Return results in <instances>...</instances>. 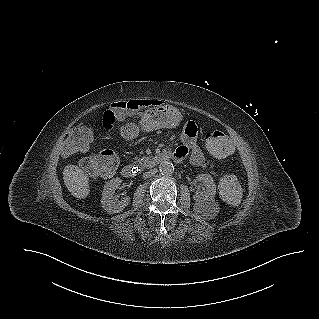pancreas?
<instances>
[{"label": "pancreas", "instance_id": "obj_1", "mask_svg": "<svg viewBox=\"0 0 319 319\" xmlns=\"http://www.w3.org/2000/svg\"><path fill=\"white\" fill-rule=\"evenodd\" d=\"M135 162H138V164L141 166V168H145L147 166L148 161L150 160V157H142V158H135Z\"/></svg>", "mask_w": 319, "mask_h": 319}]
</instances>
